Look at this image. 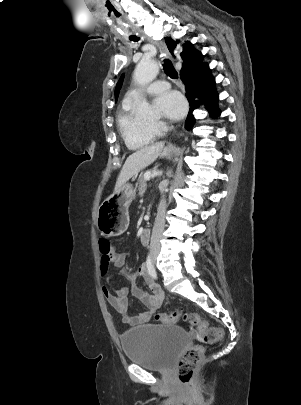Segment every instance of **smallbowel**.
<instances>
[{"instance_id": "obj_1", "label": "small bowel", "mask_w": 301, "mask_h": 405, "mask_svg": "<svg viewBox=\"0 0 301 405\" xmlns=\"http://www.w3.org/2000/svg\"><path fill=\"white\" fill-rule=\"evenodd\" d=\"M126 261V254L111 249L109 255L102 254L100 263V274L103 282L102 291L108 303L122 315L123 322L129 325H139L151 321L155 313L159 310L164 293L153 277L149 274L146 264L139 266L135 273H128L123 266ZM117 270L116 276L127 278L131 282V291L135 297L141 300L146 310L138 315H131L128 312V288L125 286L113 287L111 280L113 271ZM142 277L150 289V293L144 291L137 285V278Z\"/></svg>"}]
</instances>
